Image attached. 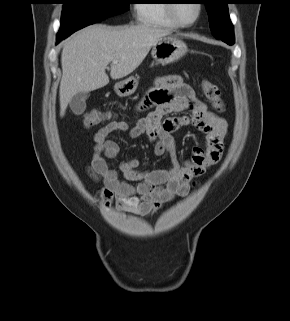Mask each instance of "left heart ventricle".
I'll return each instance as SVG.
<instances>
[{"mask_svg":"<svg viewBox=\"0 0 290 321\" xmlns=\"http://www.w3.org/2000/svg\"><path fill=\"white\" fill-rule=\"evenodd\" d=\"M176 14L178 17L185 21H192L197 15V6L193 1H184L176 4Z\"/></svg>","mask_w":290,"mask_h":321,"instance_id":"b2bd125f","label":"left heart ventricle"}]
</instances>
